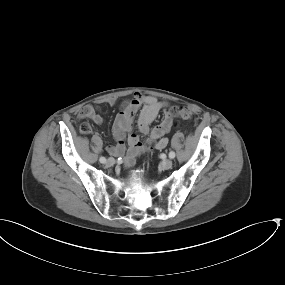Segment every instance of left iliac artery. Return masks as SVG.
Listing matches in <instances>:
<instances>
[{"label": "left iliac artery", "mask_w": 285, "mask_h": 285, "mask_svg": "<svg viewBox=\"0 0 285 285\" xmlns=\"http://www.w3.org/2000/svg\"><path fill=\"white\" fill-rule=\"evenodd\" d=\"M168 155H169V158L173 159L175 157V152L170 151Z\"/></svg>", "instance_id": "left-iliac-artery-1"}]
</instances>
